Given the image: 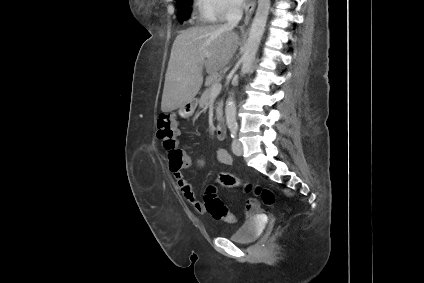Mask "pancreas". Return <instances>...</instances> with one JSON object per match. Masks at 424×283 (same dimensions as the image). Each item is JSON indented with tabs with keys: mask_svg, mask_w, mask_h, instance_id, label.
Here are the masks:
<instances>
[{
	"mask_svg": "<svg viewBox=\"0 0 424 283\" xmlns=\"http://www.w3.org/2000/svg\"><path fill=\"white\" fill-rule=\"evenodd\" d=\"M217 81H219V75L218 74L210 75L207 78V81H206L207 89L204 91V93H203V95L201 96V99H200V105L201 106L206 105L207 102L211 99V97H212L211 96V86ZM222 107H223V101L221 100L217 103V108H216L218 118L220 117Z\"/></svg>",
	"mask_w": 424,
	"mask_h": 283,
	"instance_id": "cf45deb5",
	"label": "pancreas"
}]
</instances>
